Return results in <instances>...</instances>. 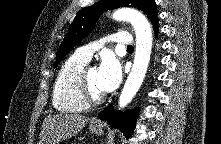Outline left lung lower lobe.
I'll return each instance as SVG.
<instances>
[{"instance_id": "obj_1", "label": "left lung lower lobe", "mask_w": 221, "mask_h": 144, "mask_svg": "<svg viewBox=\"0 0 221 144\" xmlns=\"http://www.w3.org/2000/svg\"><path fill=\"white\" fill-rule=\"evenodd\" d=\"M155 35H158V19L153 23ZM98 117L106 120L113 128L121 130L126 138H129L135 128L138 117V109L118 112L113 107H108L102 111Z\"/></svg>"}]
</instances>
